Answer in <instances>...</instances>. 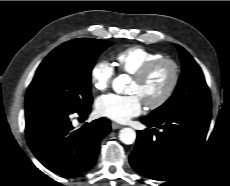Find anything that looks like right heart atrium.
Here are the masks:
<instances>
[{"label": "right heart atrium", "mask_w": 230, "mask_h": 186, "mask_svg": "<svg viewBox=\"0 0 230 186\" xmlns=\"http://www.w3.org/2000/svg\"><path fill=\"white\" fill-rule=\"evenodd\" d=\"M114 68L105 59L98 60L90 72V80L93 88L97 91L106 90L112 82Z\"/></svg>", "instance_id": "obj_1"}]
</instances>
